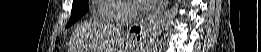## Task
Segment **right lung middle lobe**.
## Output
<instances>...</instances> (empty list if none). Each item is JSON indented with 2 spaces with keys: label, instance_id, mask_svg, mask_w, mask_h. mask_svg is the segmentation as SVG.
Instances as JSON below:
<instances>
[{
  "label": "right lung middle lobe",
  "instance_id": "dd1d6c3e",
  "mask_svg": "<svg viewBox=\"0 0 261 52\" xmlns=\"http://www.w3.org/2000/svg\"><path fill=\"white\" fill-rule=\"evenodd\" d=\"M89 9V5L87 0H76L73 2L71 17L67 24V27L71 26L74 22H76L85 12Z\"/></svg>",
  "mask_w": 261,
  "mask_h": 52
}]
</instances>
